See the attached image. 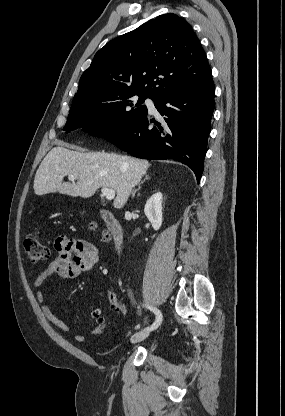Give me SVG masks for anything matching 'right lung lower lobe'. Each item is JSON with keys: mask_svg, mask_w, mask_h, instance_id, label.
Segmentation results:
<instances>
[{"mask_svg": "<svg viewBox=\"0 0 285 416\" xmlns=\"http://www.w3.org/2000/svg\"><path fill=\"white\" fill-rule=\"evenodd\" d=\"M214 96L211 76L156 101V109L166 116L162 125L148 120L146 115L129 129L106 140L138 158L182 162L193 170L199 182L211 130ZM150 123L157 127H149Z\"/></svg>", "mask_w": 285, "mask_h": 416, "instance_id": "98d812e1", "label": "right lung lower lobe"}]
</instances>
